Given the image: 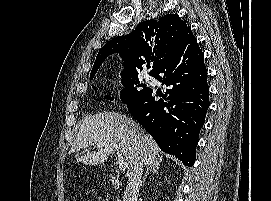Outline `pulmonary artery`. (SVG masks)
<instances>
[{
	"label": "pulmonary artery",
	"mask_w": 271,
	"mask_h": 201,
	"mask_svg": "<svg viewBox=\"0 0 271 201\" xmlns=\"http://www.w3.org/2000/svg\"><path fill=\"white\" fill-rule=\"evenodd\" d=\"M151 79H152L151 77L147 76V80H151Z\"/></svg>",
	"instance_id": "obj_1"
}]
</instances>
